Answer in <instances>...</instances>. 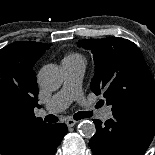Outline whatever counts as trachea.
<instances>
[{
    "label": "trachea",
    "instance_id": "trachea-1",
    "mask_svg": "<svg viewBox=\"0 0 155 155\" xmlns=\"http://www.w3.org/2000/svg\"><path fill=\"white\" fill-rule=\"evenodd\" d=\"M97 107H100V106L97 104ZM91 116H92L91 111H80V112L75 114L74 118H75V120H80L83 118H89ZM45 121L49 122V123H56L58 121V118L54 115H47L45 117Z\"/></svg>",
    "mask_w": 155,
    "mask_h": 155
}]
</instances>
